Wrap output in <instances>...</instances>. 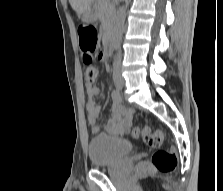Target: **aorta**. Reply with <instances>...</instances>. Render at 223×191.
Returning <instances> with one entry per match:
<instances>
[{
  "label": "aorta",
  "instance_id": "1",
  "mask_svg": "<svg viewBox=\"0 0 223 191\" xmlns=\"http://www.w3.org/2000/svg\"><path fill=\"white\" fill-rule=\"evenodd\" d=\"M125 12L126 9L124 6L118 8L115 22H114V33L111 38V44L113 49L118 50L120 48L122 34L124 31V23H125Z\"/></svg>",
  "mask_w": 223,
  "mask_h": 191
}]
</instances>
